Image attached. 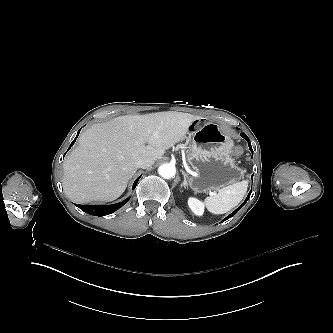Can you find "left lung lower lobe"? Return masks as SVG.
I'll use <instances>...</instances> for the list:
<instances>
[{
  "label": "left lung lower lobe",
  "instance_id": "1",
  "mask_svg": "<svg viewBox=\"0 0 333 333\" xmlns=\"http://www.w3.org/2000/svg\"><path fill=\"white\" fill-rule=\"evenodd\" d=\"M241 136H242V137L248 142L249 148H250V150H251L252 153H253V150H252V147H251V143H250V140H249V138L247 137V135H246L245 133H241ZM251 192H252V190H251L250 193L248 194V196H247L246 200L244 201V203H243L239 208H237L233 213H231L230 215H228L223 221H226L227 219L233 217V216L239 211V209H240L241 207H243V205H244V204L247 202V200L249 199V197H250V195H251Z\"/></svg>",
  "mask_w": 333,
  "mask_h": 333
}]
</instances>
